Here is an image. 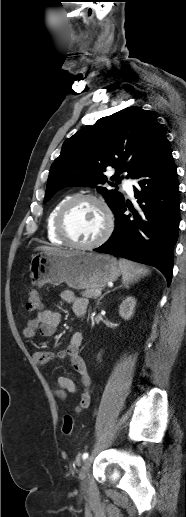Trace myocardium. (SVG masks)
Masks as SVG:
<instances>
[{
  "label": "myocardium",
  "mask_w": 186,
  "mask_h": 517,
  "mask_svg": "<svg viewBox=\"0 0 186 517\" xmlns=\"http://www.w3.org/2000/svg\"><path fill=\"white\" fill-rule=\"evenodd\" d=\"M83 201H91L96 203L100 206L102 209L104 216H105V227L101 235L94 241L90 243H79L73 240L67 231V219L72 211V209L80 202ZM114 229V219L113 214L107 205V203L93 195V194H79L71 197L60 209L57 217H56V232L58 236L69 246L77 249H83V250H91L94 248H97L101 246L103 243H105L109 237L111 236Z\"/></svg>",
  "instance_id": "f54148a6"
}]
</instances>
